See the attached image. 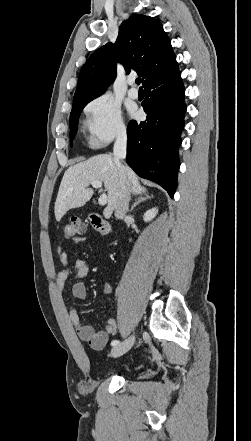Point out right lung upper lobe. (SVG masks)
Returning <instances> with one entry per match:
<instances>
[{"label": "right lung upper lobe", "instance_id": "obj_1", "mask_svg": "<svg viewBox=\"0 0 251 441\" xmlns=\"http://www.w3.org/2000/svg\"><path fill=\"white\" fill-rule=\"evenodd\" d=\"M117 61L127 73L137 71L143 86L177 65L162 24L150 16L132 15L120 25L115 44L102 46L83 65L73 101L103 94L108 83L116 77Z\"/></svg>", "mask_w": 251, "mask_h": 441}]
</instances>
